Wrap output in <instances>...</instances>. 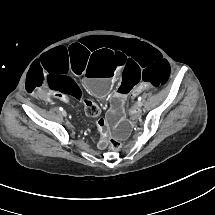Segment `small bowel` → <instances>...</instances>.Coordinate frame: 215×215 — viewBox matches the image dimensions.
<instances>
[{
    "label": "small bowel",
    "mask_w": 215,
    "mask_h": 215,
    "mask_svg": "<svg viewBox=\"0 0 215 215\" xmlns=\"http://www.w3.org/2000/svg\"><path fill=\"white\" fill-rule=\"evenodd\" d=\"M58 98H60L61 100L63 101H67V97L65 95H56ZM138 112V108L136 106H134L132 109H131V113L132 114H136Z\"/></svg>",
    "instance_id": "c3829d8e"
}]
</instances>
